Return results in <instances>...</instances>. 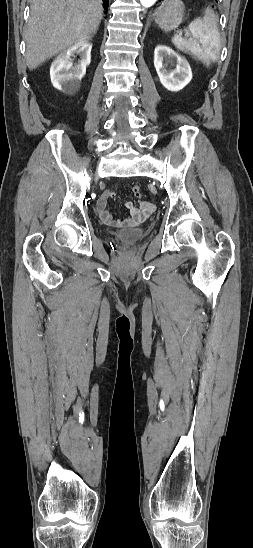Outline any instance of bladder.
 Instances as JSON below:
<instances>
[{
  "mask_svg": "<svg viewBox=\"0 0 253 548\" xmlns=\"http://www.w3.org/2000/svg\"><path fill=\"white\" fill-rule=\"evenodd\" d=\"M115 236L120 240L138 241L145 236V231L141 228H130L118 231Z\"/></svg>",
  "mask_w": 253,
  "mask_h": 548,
  "instance_id": "1",
  "label": "bladder"
}]
</instances>
